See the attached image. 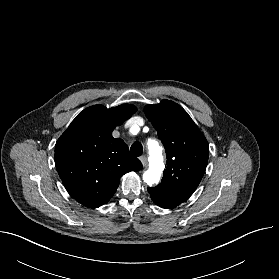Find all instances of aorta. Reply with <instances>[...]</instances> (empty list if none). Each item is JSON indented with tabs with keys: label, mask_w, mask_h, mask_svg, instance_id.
I'll use <instances>...</instances> for the list:
<instances>
[{
	"label": "aorta",
	"mask_w": 279,
	"mask_h": 279,
	"mask_svg": "<svg viewBox=\"0 0 279 279\" xmlns=\"http://www.w3.org/2000/svg\"><path fill=\"white\" fill-rule=\"evenodd\" d=\"M149 150L151 154L150 167L143 174V180L148 184H156L160 181L163 171V160L161 148L154 141L149 142Z\"/></svg>",
	"instance_id": "obj_1"
}]
</instances>
